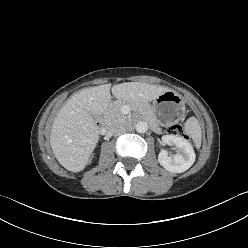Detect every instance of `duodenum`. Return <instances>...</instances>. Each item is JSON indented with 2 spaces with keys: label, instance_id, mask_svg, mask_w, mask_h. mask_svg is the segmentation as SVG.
I'll use <instances>...</instances> for the list:
<instances>
[{
  "label": "duodenum",
  "instance_id": "410a0bca",
  "mask_svg": "<svg viewBox=\"0 0 248 248\" xmlns=\"http://www.w3.org/2000/svg\"><path fill=\"white\" fill-rule=\"evenodd\" d=\"M106 120H107L106 115L101 116V117L97 120V126L99 127V129H100V131H101L102 133L105 132Z\"/></svg>",
  "mask_w": 248,
  "mask_h": 248
}]
</instances>
